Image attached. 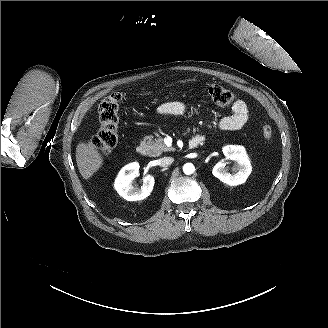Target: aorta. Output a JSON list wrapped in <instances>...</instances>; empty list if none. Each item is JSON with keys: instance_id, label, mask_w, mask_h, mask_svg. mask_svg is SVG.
Listing matches in <instances>:
<instances>
[{"instance_id": "aorta-1", "label": "aorta", "mask_w": 328, "mask_h": 328, "mask_svg": "<svg viewBox=\"0 0 328 328\" xmlns=\"http://www.w3.org/2000/svg\"><path fill=\"white\" fill-rule=\"evenodd\" d=\"M194 171H195V167L192 163H186V164L183 165V172L186 175L193 174Z\"/></svg>"}]
</instances>
